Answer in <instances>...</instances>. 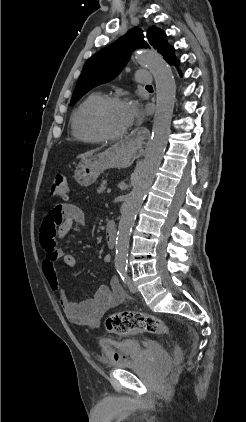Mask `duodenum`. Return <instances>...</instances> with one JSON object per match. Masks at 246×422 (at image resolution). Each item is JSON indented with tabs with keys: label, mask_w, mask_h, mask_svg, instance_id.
Returning <instances> with one entry per match:
<instances>
[{
	"label": "duodenum",
	"mask_w": 246,
	"mask_h": 422,
	"mask_svg": "<svg viewBox=\"0 0 246 422\" xmlns=\"http://www.w3.org/2000/svg\"><path fill=\"white\" fill-rule=\"evenodd\" d=\"M105 240L108 248L114 249L116 245V226L113 222H108L105 231Z\"/></svg>",
	"instance_id": "1"
}]
</instances>
